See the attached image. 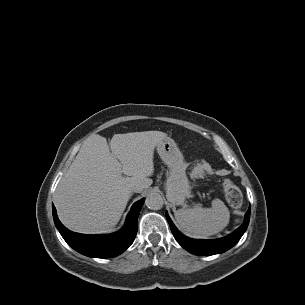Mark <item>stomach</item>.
<instances>
[{
    "mask_svg": "<svg viewBox=\"0 0 305 305\" xmlns=\"http://www.w3.org/2000/svg\"><path fill=\"white\" fill-rule=\"evenodd\" d=\"M157 152L163 162L168 166L169 172L166 181L168 199L183 205L190 194V182L186 175V163L175 141L169 137L157 145Z\"/></svg>",
    "mask_w": 305,
    "mask_h": 305,
    "instance_id": "obj_1",
    "label": "stomach"
}]
</instances>
